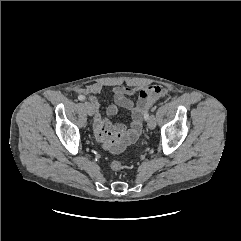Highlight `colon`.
<instances>
[{
    "label": "colon",
    "mask_w": 241,
    "mask_h": 241,
    "mask_svg": "<svg viewBox=\"0 0 241 241\" xmlns=\"http://www.w3.org/2000/svg\"><path fill=\"white\" fill-rule=\"evenodd\" d=\"M110 167L113 171H119L122 168V163L121 161L115 159L111 162Z\"/></svg>",
    "instance_id": "5ec220e1"
}]
</instances>
